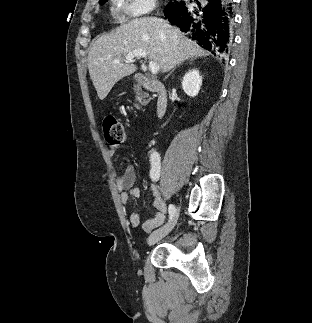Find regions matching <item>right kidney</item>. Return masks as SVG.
<instances>
[{
  "label": "right kidney",
  "instance_id": "1",
  "mask_svg": "<svg viewBox=\"0 0 312 323\" xmlns=\"http://www.w3.org/2000/svg\"><path fill=\"white\" fill-rule=\"evenodd\" d=\"M201 86L202 76H200L198 70H190L185 74L182 80V88L187 96H191V98L198 96Z\"/></svg>",
  "mask_w": 312,
  "mask_h": 323
}]
</instances>
